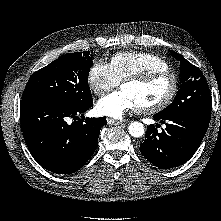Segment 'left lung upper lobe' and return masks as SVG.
<instances>
[{
	"label": "left lung upper lobe",
	"mask_w": 221,
	"mask_h": 221,
	"mask_svg": "<svg viewBox=\"0 0 221 221\" xmlns=\"http://www.w3.org/2000/svg\"><path fill=\"white\" fill-rule=\"evenodd\" d=\"M170 53L180 61L182 84L172 104L158 114L165 116L192 111L211 112L212 97L203 73L178 53Z\"/></svg>",
	"instance_id": "5c2ea615"
}]
</instances>
